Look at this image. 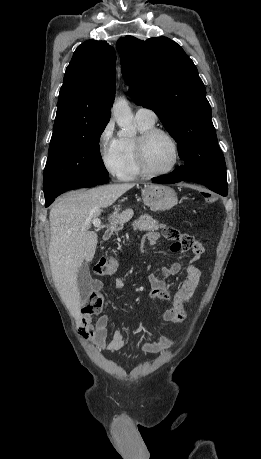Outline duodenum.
I'll return each mask as SVG.
<instances>
[{
    "label": "duodenum",
    "mask_w": 261,
    "mask_h": 459,
    "mask_svg": "<svg viewBox=\"0 0 261 459\" xmlns=\"http://www.w3.org/2000/svg\"><path fill=\"white\" fill-rule=\"evenodd\" d=\"M117 231L118 228L116 226H110L104 234L105 240H109Z\"/></svg>",
    "instance_id": "410a0bca"
}]
</instances>
